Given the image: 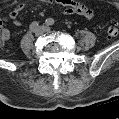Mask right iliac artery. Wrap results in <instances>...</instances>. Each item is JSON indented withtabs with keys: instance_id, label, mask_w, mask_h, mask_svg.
Listing matches in <instances>:
<instances>
[{
	"instance_id": "obj_1",
	"label": "right iliac artery",
	"mask_w": 119,
	"mask_h": 119,
	"mask_svg": "<svg viewBox=\"0 0 119 119\" xmlns=\"http://www.w3.org/2000/svg\"><path fill=\"white\" fill-rule=\"evenodd\" d=\"M38 27H39V22L34 21V22H32V23L30 24L29 29H30L32 32H35Z\"/></svg>"
}]
</instances>
